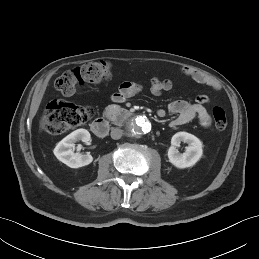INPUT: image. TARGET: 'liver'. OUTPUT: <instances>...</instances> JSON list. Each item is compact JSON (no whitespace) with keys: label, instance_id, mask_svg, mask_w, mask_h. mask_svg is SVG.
Wrapping results in <instances>:
<instances>
[{"label":"liver","instance_id":"1","mask_svg":"<svg viewBox=\"0 0 259 259\" xmlns=\"http://www.w3.org/2000/svg\"><path fill=\"white\" fill-rule=\"evenodd\" d=\"M42 126H43V122L41 121V123H40V127L42 128Z\"/></svg>","mask_w":259,"mask_h":259}]
</instances>
